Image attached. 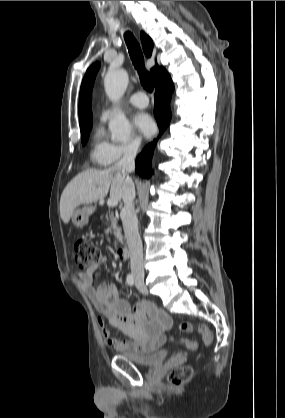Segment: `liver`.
<instances>
[{
    "label": "liver",
    "mask_w": 285,
    "mask_h": 418,
    "mask_svg": "<svg viewBox=\"0 0 285 418\" xmlns=\"http://www.w3.org/2000/svg\"><path fill=\"white\" fill-rule=\"evenodd\" d=\"M124 177L114 167L104 170L88 169L75 176L65 187L60 198V217L67 224L74 210L106 197L120 201L123 195Z\"/></svg>",
    "instance_id": "6515ba94"
}]
</instances>
